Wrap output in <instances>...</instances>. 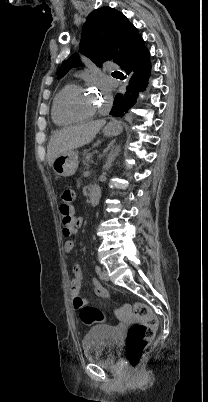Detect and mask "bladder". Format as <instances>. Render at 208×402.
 I'll return each instance as SVG.
<instances>
[{"label":"bladder","instance_id":"bladder-1","mask_svg":"<svg viewBox=\"0 0 208 402\" xmlns=\"http://www.w3.org/2000/svg\"><path fill=\"white\" fill-rule=\"evenodd\" d=\"M120 341L121 338L115 327L94 325L84 339V357L102 366L113 364Z\"/></svg>","mask_w":208,"mask_h":402}]
</instances>
